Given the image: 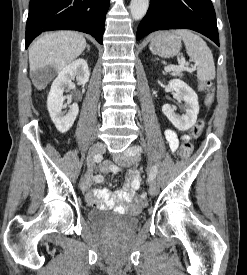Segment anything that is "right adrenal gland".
<instances>
[{"label": "right adrenal gland", "instance_id": "obj_1", "mask_svg": "<svg viewBox=\"0 0 247 275\" xmlns=\"http://www.w3.org/2000/svg\"><path fill=\"white\" fill-rule=\"evenodd\" d=\"M87 50H88V51L90 50V46H89V45H87Z\"/></svg>", "mask_w": 247, "mask_h": 275}]
</instances>
